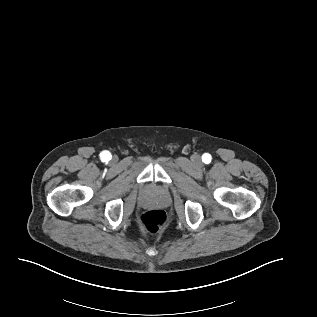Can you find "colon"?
Segmentation results:
<instances>
[{"label":"colon","mask_w":317,"mask_h":317,"mask_svg":"<svg viewBox=\"0 0 317 317\" xmlns=\"http://www.w3.org/2000/svg\"><path fill=\"white\" fill-rule=\"evenodd\" d=\"M166 222V212L162 209H151L140 217V223L150 233L157 232Z\"/></svg>","instance_id":"obj_1"}]
</instances>
